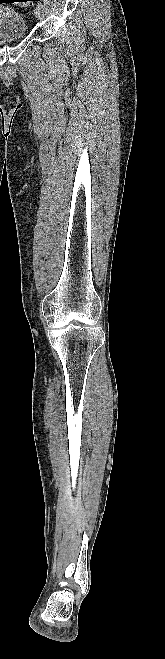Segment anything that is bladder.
<instances>
[{"label":"bladder","instance_id":"31cf9c89","mask_svg":"<svg viewBox=\"0 0 165 659\" xmlns=\"http://www.w3.org/2000/svg\"><path fill=\"white\" fill-rule=\"evenodd\" d=\"M23 19L11 9L0 7V41L25 37Z\"/></svg>","mask_w":165,"mask_h":659}]
</instances>
